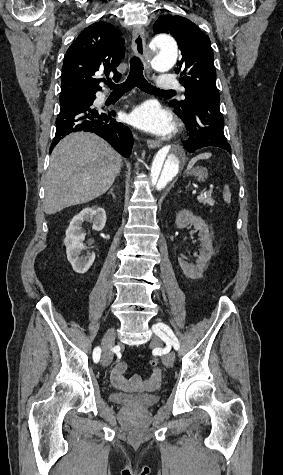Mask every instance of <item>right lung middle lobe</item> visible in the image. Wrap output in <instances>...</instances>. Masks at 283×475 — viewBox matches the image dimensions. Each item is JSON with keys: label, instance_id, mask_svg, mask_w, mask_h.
I'll return each mask as SVG.
<instances>
[{"label": "right lung middle lobe", "instance_id": "obj_1", "mask_svg": "<svg viewBox=\"0 0 283 475\" xmlns=\"http://www.w3.org/2000/svg\"><path fill=\"white\" fill-rule=\"evenodd\" d=\"M94 92H84V91H79L76 89H61L60 93V102H64L73 98H79V97H86V96H94Z\"/></svg>", "mask_w": 283, "mask_h": 475}]
</instances>
